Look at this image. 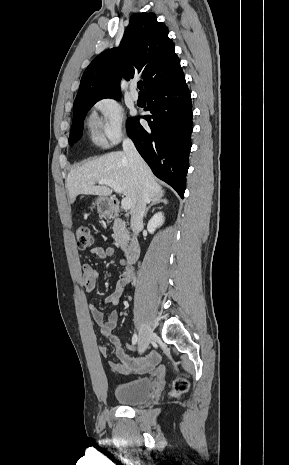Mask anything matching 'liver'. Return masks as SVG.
<instances>
[{
	"label": "liver",
	"instance_id": "6515ba94",
	"mask_svg": "<svg viewBox=\"0 0 289 465\" xmlns=\"http://www.w3.org/2000/svg\"><path fill=\"white\" fill-rule=\"evenodd\" d=\"M142 176L148 189L149 199H161L164 191L146 164ZM104 179L112 180L122 188L126 198L131 200L132 213L138 203L139 178L132 171L127 155L121 151L105 154L70 171L66 187L71 203L75 201L79 194L102 197L111 195L112 189L107 185H95L96 182Z\"/></svg>",
	"mask_w": 289,
	"mask_h": 465
}]
</instances>
